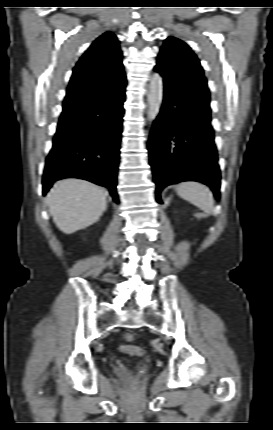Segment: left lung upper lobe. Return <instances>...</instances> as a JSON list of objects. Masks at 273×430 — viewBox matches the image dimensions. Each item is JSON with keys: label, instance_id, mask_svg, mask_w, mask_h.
<instances>
[{"label": "left lung upper lobe", "instance_id": "obj_1", "mask_svg": "<svg viewBox=\"0 0 273 430\" xmlns=\"http://www.w3.org/2000/svg\"><path fill=\"white\" fill-rule=\"evenodd\" d=\"M155 71L172 84L177 97L210 115V94L200 61L183 41L168 37L158 55Z\"/></svg>", "mask_w": 273, "mask_h": 430}]
</instances>
